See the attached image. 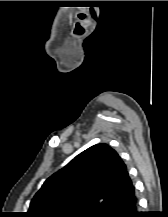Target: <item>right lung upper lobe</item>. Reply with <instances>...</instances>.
Segmentation results:
<instances>
[{"label":"right lung upper lobe","instance_id":"right-lung-upper-lobe-1","mask_svg":"<svg viewBox=\"0 0 168 217\" xmlns=\"http://www.w3.org/2000/svg\"><path fill=\"white\" fill-rule=\"evenodd\" d=\"M127 167L111 147L94 145L49 177L31 201L26 217H99L131 197Z\"/></svg>","mask_w":168,"mask_h":217}]
</instances>
